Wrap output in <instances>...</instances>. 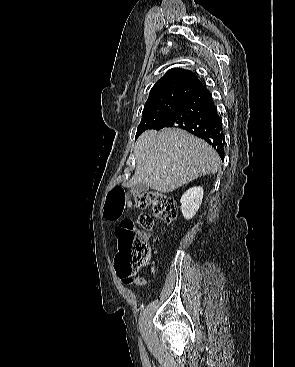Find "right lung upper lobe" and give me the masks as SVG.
Wrapping results in <instances>:
<instances>
[{
	"label": "right lung upper lobe",
	"instance_id": "cb5924a9",
	"mask_svg": "<svg viewBox=\"0 0 295 367\" xmlns=\"http://www.w3.org/2000/svg\"><path fill=\"white\" fill-rule=\"evenodd\" d=\"M201 87H203V84L193 72L174 68L170 69L155 83L150 91V95L171 88H188L197 91Z\"/></svg>",
	"mask_w": 295,
	"mask_h": 367
}]
</instances>
